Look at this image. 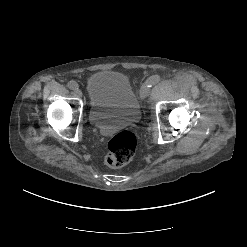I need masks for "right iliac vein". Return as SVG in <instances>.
Masks as SVG:
<instances>
[{
	"instance_id": "obj_1",
	"label": "right iliac vein",
	"mask_w": 247,
	"mask_h": 247,
	"mask_svg": "<svg viewBox=\"0 0 247 247\" xmlns=\"http://www.w3.org/2000/svg\"><path fill=\"white\" fill-rule=\"evenodd\" d=\"M75 94H76L78 97H81V96H82V91H81L79 88H77V89H75Z\"/></svg>"
}]
</instances>
